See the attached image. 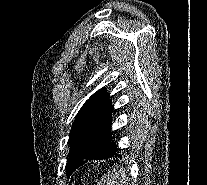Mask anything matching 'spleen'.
Returning <instances> with one entry per match:
<instances>
[{
    "label": "spleen",
    "mask_w": 207,
    "mask_h": 185,
    "mask_svg": "<svg viewBox=\"0 0 207 185\" xmlns=\"http://www.w3.org/2000/svg\"><path fill=\"white\" fill-rule=\"evenodd\" d=\"M125 171V166H120V170H110V174H106L105 185H122L128 183V178L131 177V172Z\"/></svg>",
    "instance_id": "spleen-1"
}]
</instances>
